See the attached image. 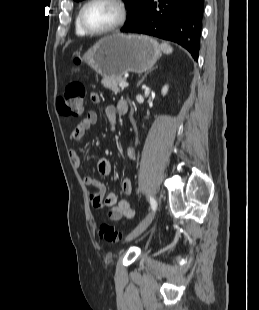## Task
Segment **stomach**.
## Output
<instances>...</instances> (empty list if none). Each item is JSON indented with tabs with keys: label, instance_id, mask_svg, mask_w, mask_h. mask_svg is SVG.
Masks as SVG:
<instances>
[{
	"label": "stomach",
	"instance_id": "1",
	"mask_svg": "<svg viewBox=\"0 0 259 310\" xmlns=\"http://www.w3.org/2000/svg\"><path fill=\"white\" fill-rule=\"evenodd\" d=\"M160 56L161 48L151 37L116 33L100 39L81 59L103 77L116 78L146 72Z\"/></svg>",
	"mask_w": 259,
	"mask_h": 310
}]
</instances>
